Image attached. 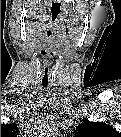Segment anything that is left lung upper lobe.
Listing matches in <instances>:
<instances>
[{"label":"left lung upper lobe","instance_id":"obj_1","mask_svg":"<svg viewBox=\"0 0 121 137\" xmlns=\"http://www.w3.org/2000/svg\"><path fill=\"white\" fill-rule=\"evenodd\" d=\"M79 136H97V135H109L112 134V129L105 123L102 122H86L82 123L77 127ZM117 132L113 129V134Z\"/></svg>","mask_w":121,"mask_h":137}]
</instances>
